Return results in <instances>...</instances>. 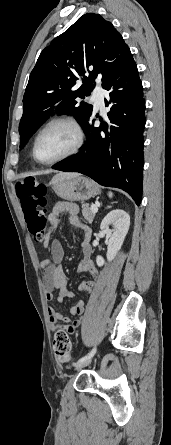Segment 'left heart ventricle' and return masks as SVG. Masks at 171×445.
Listing matches in <instances>:
<instances>
[{"instance_id": "left-heart-ventricle-1", "label": "left heart ventricle", "mask_w": 171, "mask_h": 445, "mask_svg": "<svg viewBox=\"0 0 171 445\" xmlns=\"http://www.w3.org/2000/svg\"><path fill=\"white\" fill-rule=\"evenodd\" d=\"M75 134L66 125L49 128L40 137L37 144V156L40 160L49 161L68 151L74 144Z\"/></svg>"}]
</instances>
